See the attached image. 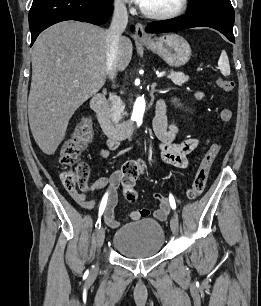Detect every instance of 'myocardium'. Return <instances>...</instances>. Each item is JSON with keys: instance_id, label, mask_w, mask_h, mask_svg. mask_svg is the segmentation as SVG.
Wrapping results in <instances>:
<instances>
[{"instance_id": "f54148a6", "label": "myocardium", "mask_w": 261, "mask_h": 306, "mask_svg": "<svg viewBox=\"0 0 261 306\" xmlns=\"http://www.w3.org/2000/svg\"><path fill=\"white\" fill-rule=\"evenodd\" d=\"M188 4L189 0H180L179 5L174 10L168 12H153L145 9L143 6L140 7V10L141 13L148 18L166 20L182 15L186 11Z\"/></svg>"}]
</instances>
